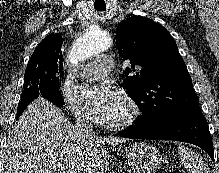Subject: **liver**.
Wrapping results in <instances>:
<instances>
[{
  "label": "liver",
  "mask_w": 219,
  "mask_h": 173,
  "mask_svg": "<svg viewBox=\"0 0 219 173\" xmlns=\"http://www.w3.org/2000/svg\"><path fill=\"white\" fill-rule=\"evenodd\" d=\"M123 138L80 140L64 113L43 97L34 100L18 119L4 150L3 173H105V143Z\"/></svg>",
  "instance_id": "1"
}]
</instances>
